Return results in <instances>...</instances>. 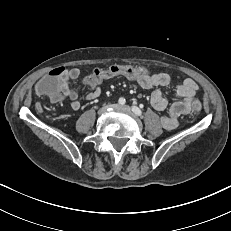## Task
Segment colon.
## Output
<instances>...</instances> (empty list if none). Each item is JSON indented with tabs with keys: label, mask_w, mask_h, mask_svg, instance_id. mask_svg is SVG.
Here are the masks:
<instances>
[{
	"label": "colon",
	"mask_w": 231,
	"mask_h": 231,
	"mask_svg": "<svg viewBox=\"0 0 231 231\" xmlns=\"http://www.w3.org/2000/svg\"><path fill=\"white\" fill-rule=\"evenodd\" d=\"M63 68H55L48 75L41 78L38 84L35 85V92L39 93L41 96H47L53 101H59L61 92L57 84V77L63 72ZM154 74H164L157 73L155 71H147L143 67L132 66V65H112L107 68H96L93 72L86 78L85 85L93 87L98 85L105 79L124 76L126 80L135 82V79L139 76ZM135 85V83H134ZM188 109L192 112L199 114L205 109V104L197 99H192L188 102Z\"/></svg>",
	"instance_id": "colon-1"
}]
</instances>
